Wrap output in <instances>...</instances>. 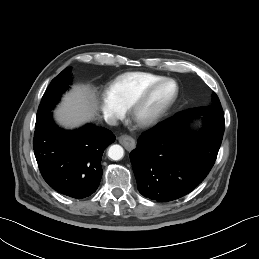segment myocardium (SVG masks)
<instances>
[{
    "mask_svg": "<svg viewBox=\"0 0 259 259\" xmlns=\"http://www.w3.org/2000/svg\"><path fill=\"white\" fill-rule=\"evenodd\" d=\"M172 83L175 86V92L173 96L163 105L161 106L154 114L151 116L140 119L139 111L140 109L147 103L151 95L161 86ZM180 94V87L178 82L173 78L165 77L159 81H156L146 87L129 105L128 111L129 116L132 121L140 128L146 129L155 126L158 124L161 119L167 114V112L173 107L176 103Z\"/></svg>",
    "mask_w": 259,
    "mask_h": 259,
    "instance_id": "f54148a6",
    "label": "myocardium"
}]
</instances>
